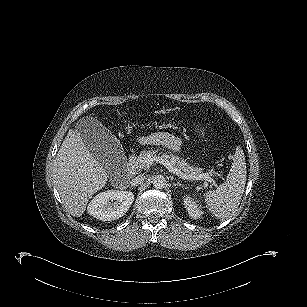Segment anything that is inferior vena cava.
Listing matches in <instances>:
<instances>
[{
    "mask_svg": "<svg viewBox=\"0 0 307 307\" xmlns=\"http://www.w3.org/2000/svg\"><path fill=\"white\" fill-rule=\"evenodd\" d=\"M143 181H144V177L139 175V176L133 178L130 183H131L132 186H137V185L141 184Z\"/></svg>",
    "mask_w": 307,
    "mask_h": 307,
    "instance_id": "inferior-vena-cava-1",
    "label": "inferior vena cava"
}]
</instances>
